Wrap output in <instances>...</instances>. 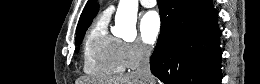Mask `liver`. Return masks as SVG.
Returning a JSON list of instances; mask_svg holds the SVG:
<instances>
[{
	"label": "liver",
	"instance_id": "obj_1",
	"mask_svg": "<svg viewBox=\"0 0 260 84\" xmlns=\"http://www.w3.org/2000/svg\"><path fill=\"white\" fill-rule=\"evenodd\" d=\"M84 82H87V84H147L146 81H144L135 73L112 76V77H107L98 80L87 79Z\"/></svg>",
	"mask_w": 260,
	"mask_h": 84
}]
</instances>
